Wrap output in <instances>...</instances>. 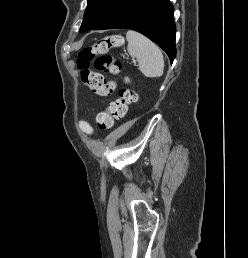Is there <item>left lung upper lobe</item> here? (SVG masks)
<instances>
[{
  "label": "left lung upper lobe",
  "mask_w": 248,
  "mask_h": 258,
  "mask_svg": "<svg viewBox=\"0 0 248 258\" xmlns=\"http://www.w3.org/2000/svg\"><path fill=\"white\" fill-rule=\"evenodd\" d=\"M128 0H88L80 31H88L113 17Z\"/></svg>",
  "instance_id": "left-lung-upper-lobe-1"
}]
</instances>
